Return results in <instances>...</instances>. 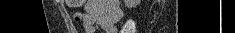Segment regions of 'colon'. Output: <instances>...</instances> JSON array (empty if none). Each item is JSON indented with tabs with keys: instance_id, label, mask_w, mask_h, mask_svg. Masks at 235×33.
<instances>
[{
	"instance_id": "colon-1",
	"label": "colon",
	"mask_w": 235,
	"mask_h": 33,
	"mask_svg": "<svg viewBox=\"0 0 235 33\" xmlns=\"http://www.w3.org/2000/svg\"><path fill=\"white\" fill-rule=\"evenodd\" d=\"M83 0H67V4L71 7H79L83 4ZM134 25L132 22H128L125 27L123 33H133Z\"/></svg>"
}]
</instances>
